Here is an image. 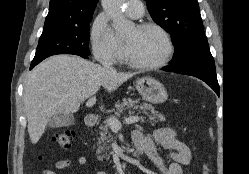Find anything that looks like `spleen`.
Instances as JSON below:
<instances>
[{
    "instance_id": "3e777b00",
    "label": "spleen",
    "mask_w": 249,
    "mask_h": 174,
    "mask_svg": "<svg viewBox=\"0 0 249 174\" xmlns=\"http://www.w3.org/2000/svg\"><path fill=\"white\" fill-rule=\"evenodd\" d=\"M210 136L212 137L213 136V132H212V129L210 128Z\"/></svg>"
}]
</instances>
